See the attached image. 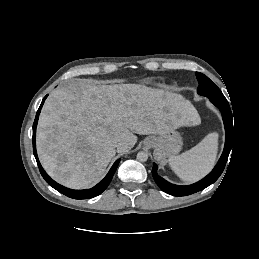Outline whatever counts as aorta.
<instances>
[{
	"mask_svg": "<svg viewBox=\"0 0 259 259\" xmlns=\"http://www.w3.org/2000/svg\"><path fill=\"white\" fill-rule=\"evenodd\" d=\"M148 159V153L145 151H140L137 153V160L140 162H145Z\"/></svg>",
	"mask_w": 259,
	"mask_h": 259,
	"instance_id": "obj_1",
	"label": "aorta"
}]
</instances>
